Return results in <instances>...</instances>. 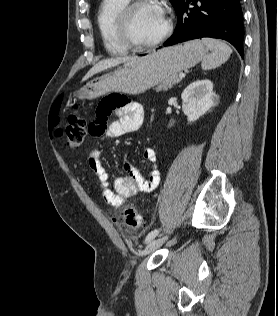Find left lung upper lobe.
<instances>
[{
  "mask_svg": "<svg viewBox=\"0 0 278 316\" xmlns=\"http://www.w3.org/2000/svg\"><path fill=\"white\" fill-rule=\"evenodd\" d=\"M182 0H170L171 4L173 5L175 11L178 9Z\"/></svg>",
  "mask_w": 278,
  "mask_h": 316,
  "instance_id": "1",
  "label": "left lung upper lobe"
}]
</instances>
